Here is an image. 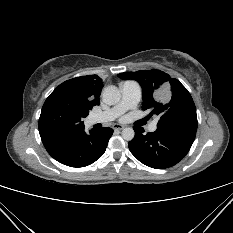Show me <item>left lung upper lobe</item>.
<instances>
[{"mask_svg": "<svg viewBox=\"0 0 233 233\" xmlns=\"http://www.w3.org/2000/svg\"><path fill=\"white\" fill-rule=\"evenodd\" d=\"M123 80L133 79L142 87L143 110L150 116L159 115L157 129L162 131H197L196 107L187 89L174 78L160 70L124 72L118 75ZM168 94L160 100L158 95Z\"/></svg>", "mask_w": 233, "mask_h": 233, "instance_id": "1", "label": "left lung upper lobe"}]
</instances>
